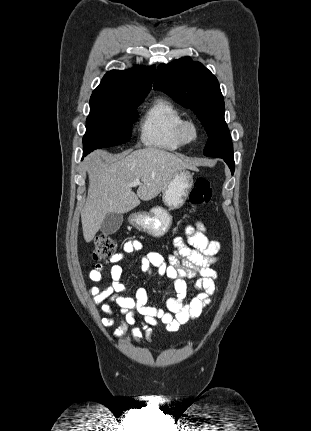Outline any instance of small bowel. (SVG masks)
<instances>
[{"instance_id":"small-bowel-1","label":"small bowel","mask_w":311,"mask_h":431,"mask_svg":"<svg viewBox=\"0 0 311 431\" xmlns=\"http://www.w3.org/2000/svg\"><path fill=\"white\" fill-rule=\"evenodd\" d=\"M185 234L187 241L182 237L174 239V253L167 260L158 252H146L141 256L144 273L151 275L156 270L173 287L175 295L166 300V310L147 305V292L142 287L136 289L134 297L123 295L126 290L121 282L123 269L118 262L126 260L132 252L142 250L141 242L133 240L124 243L123 252L108 261L112 264L109 274L111 282L105 287L93 286L89 292L93 303L106 314L101 319L103 326L114 324L112 304L120 307L123 318L113 332L114 337H121L129 327H133L132 335L135 339L142 337V331L150 338V327L159 323L168 332H177L190 320L199 317L210 304L218 278L213 266L219 260L220 242L210 240L200 222L186 226ZM103 270L104 264H96L88 273L89 280L103 283ZM186 280H194L193 289L197 293L191 299H187L189 288ZM136 315L141 317V327L135 326Z\"/></svg>"}]
</instances>
